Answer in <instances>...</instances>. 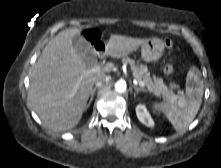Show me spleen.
<instances>
[{
	"instance_id": "obj_1",
	"label": "spleen",
	"mask_w": 221,
	"mask_h": 168,
	"mask_svg": "<svg viewBox=\"0 0 221 168\" xmlns=\"http://www.w3.org/2000/svg\"><path fill=\"white\" fill-rule=\"evenodd\" d=\"M204 82L200 70L190 67L186 77V92L183 96L172 95L163 102H154V111L162 112L173 125L181 131L194 120L202 102Z\"/></svg>"
}]
</instances>
